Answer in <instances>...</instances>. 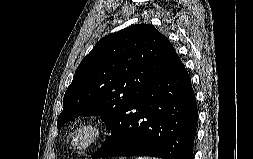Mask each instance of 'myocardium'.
Instances as JSON below:
<instances>
[{"label":"myocardium","mask_w":253,"mask_h":159,"mask_svg":"<svg viewBox=\"0 0 253 159\" xmlns=\"http://www.w3.org/2000/svg\"><path fill=\"white\" fill-rule=\"evenodd\" d=\"M108 130V125L100 117H84L74 125L70 132V147L76 153L83 154L99 143L107 135ZM83 131H89V135L84 141H80Z\"/></svg>","instance_id":"f54148a6"}]
</instances>
